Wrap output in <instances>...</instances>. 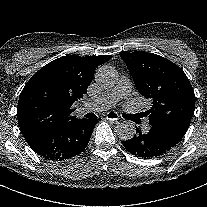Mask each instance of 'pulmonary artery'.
<instances>
[{"mask_svg":"<svg viewBox=\"0 0 207 207\" xmlns=\"http://www.w3.org/2000/svg\"><path fill=\"white\" fill-rule=\"evenodd\" d=\"M131 83L129 79L122 77L117 85L110 91H107L97 98L89 99L85 106L88 111L101 112L113 107L121 98H125L129 95ZM149 126H144L145 130H148Z\"/></svg>","mask_w":207,"mask_h":207,"instance_id":"1","label":"pulmonary artery"}]
</instances>
